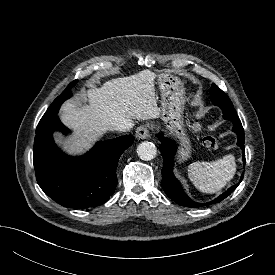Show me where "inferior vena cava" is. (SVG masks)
I'll return each instance as SVG.
<instances>
[{
    "instance_id": "obj_1",
    "label": "inferior vena cava",
    "mask_w": 275,
    "mask_h": 275,
    "mask_svg": "<svg viewBox=\"0 0 275 275\" xmlns=\"http://www.w3.org/2000/svg\"><path fill=\"white\" fill-rule=\"evenodd\" d=\"M133 126L134 124L132 122L124 121L116 124L113 129L120 132H126V131H129Z\"/></svg>"
}]
</instances>
